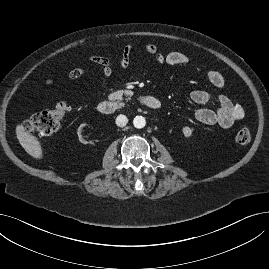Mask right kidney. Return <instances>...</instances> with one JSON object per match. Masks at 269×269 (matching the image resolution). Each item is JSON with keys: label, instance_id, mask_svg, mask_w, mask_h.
<instances>
[{"label": "right kidney", "instance_id": "right-kidney-1", "mask_svg": "<svg viewBox=\"0 0 269 269\" xmlns=\"http://www.w3.org/2000/svg\"><path fill=\"white\" fill-rule=\"evenodd\" d=\"M87 124H81L78 128V137H79V141L82 143H93L94 139L93 138H86L85 140L82 138L81 133L83 132V128L86 126ZM90 147H93V144H90Z\"/></svg>", "mask_w": 269, "mask_h": 269}]
</instances>
